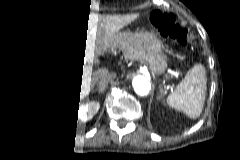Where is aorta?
<instances>
[{
    "mask_svg": "<svg viewBox=\"0 0 240 160\" xmlns=\"http://www.w3.org/2000/svg\"><path fill=\"white\" fill-rule=\"evenodd\" d=\"M134 91L139 96H146L150 93L151 83L144 76H136L132 82Z\"/></svg>",
    "mask_w": 240,
    "mask_h": 160,
    "instance_id": "obj_1",
    "label": "aorta"
}]
</instances>
